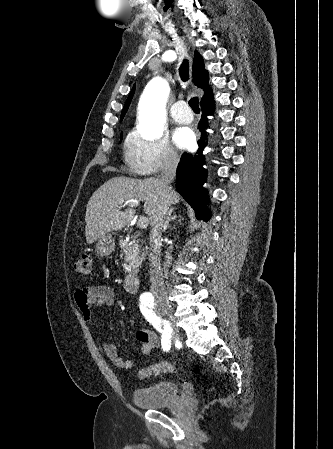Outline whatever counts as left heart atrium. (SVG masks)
<instances>
[{"instance_id": "1", "label": "left heart atrium", "mask_w": 333, "mask_h": 449, "mask_svg": "<svg viewBox=\"0 0 333 449\" xmlns=\"http://www.w3.org/2000/svg\"><path fill=\"white\" fill-rule=\"evenodd\" d=\"M195 140L194 133L188 128H182L176 131L174 141L180 148L190 147Z\"/></svg>"}]
</instances>
